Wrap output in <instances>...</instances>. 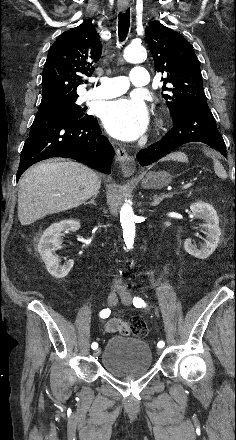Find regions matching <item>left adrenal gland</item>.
I'll return each instance as SVG.
<instances>
[{
	"mask_svg": "<svg viewBox=\"0 0 236 440\" xmlns=\"http://www.w3.org/2000/svg\"><path fill=\"white\" fill-rule=\"evenodd\" d=\"M172 197L170 194H162L161 196H157L156 194L153 196V200L151 202V206H157L164 198Z\"/></svg>",
	"mask_w": 236,
	"mask_h": 440,
	"instance_id": "1",
	"label": "left adrenal gland"
}]
</instances>
